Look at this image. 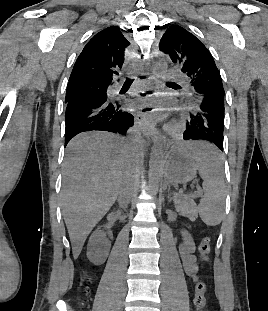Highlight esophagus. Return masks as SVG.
Instances as JSON below:
<instances>
[{"mask_svg": "<svg viewBox=\"0 0 268 311\" xmlns=\"http://www.w3.org/2000/svg\"><path fill=\"white\" fill-rule=\"evenodd\" d=\"M156 80V76L154 72H152L150 76V90L153 89V83L156 82ZM136 120L149 142H153L155 138L159 137V133L156 130L153 118L147 116L145 113L142 112V110H139L136 114Z\"/></svg>", "mask_w": 268, "mask_h": 311, "instance_id": "esophagus-1", "label": "esophagus"}]
</instances>
